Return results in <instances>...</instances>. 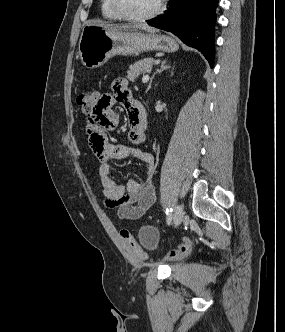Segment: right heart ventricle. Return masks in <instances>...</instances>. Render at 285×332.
<instances>
[{
  "instance_id": "right-heart-ventricle-1",
  "label": "right heart ventricle",
  "mask_w": 285,
  "mask_h": 332,
  "mask_svg": "<svg viewBox=\"0 0 285 332\" xmlns=\"http://www.w3.org/2000/svg\"><path fill=\"white\" fill-rule=\"evenodd\" d=\"M100 8H101V14L104 19L109 21H118L121 19L112 9L110 0H101Z\"/></svg>"
}]
</instances>
